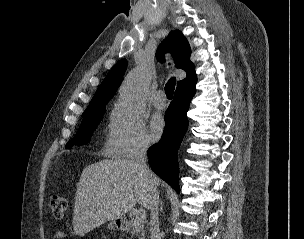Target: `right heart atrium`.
<instances>
[{"label": "right heart atrium", "mask_w": 304, "mask_h": 239, "mask_svg": "<svg viewBox=\"0 0 304 239\" xmlns=\"http://www.w3.org/2000/svg\"><path fill=\"white\" fill-rule=\"evenodd\" d=\"M103 147L109 154L120 158L145 153L149 140L142 121L131 118L116 106L110 116Z\"/></svg>", "instance_id": "d8ad5b80"}]
</instances>
